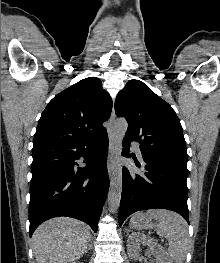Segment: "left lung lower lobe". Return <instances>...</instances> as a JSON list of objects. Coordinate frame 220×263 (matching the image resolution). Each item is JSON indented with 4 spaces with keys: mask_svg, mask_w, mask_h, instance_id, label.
Returning a JSON list of instances; mask_svg holds the SVG:
<instances>
[{
    "mask_svg": "<svg viewBox=\"0 0 220 263\" xmlns=\"http://www.w3.org/2000/svg\"><path fill=\"white\" fill-rule=\"evenodd\" d=\"M123 156L129 157L130 140H123ZM142 173L123 168V187L119 226L139 210L162 208L175 211L189 223L187 206V170L167 160L149 156L141 150ZM135 165L140 168L139 162Z\"/></svg>",
    "mask_w": 220,
    "mask_h": 263,
    "instance_id": "obj_1",
    "label": "left lung lower lobe"
}]
</instances>
